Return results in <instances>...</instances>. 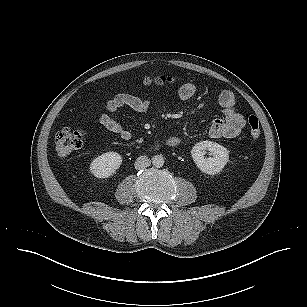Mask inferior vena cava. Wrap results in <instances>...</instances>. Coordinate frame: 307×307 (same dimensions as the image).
<instances>
[{
    "label": "inferior vena cava",
    "instance_id": "obj_1",
    "mask_svg": "<svg viewBox=\"0 0 307 307\" xmlns=\"http://www.w3.org/2000/svg\"><path fill=\"white\" fill-rule=\"evenodd\" d=\"M151 160L147 156H140L135 161V169L141 170L150 166Z\"/></svg>",
    "mask_w": 307,
    "mask_h": 307
}]
</instances>
